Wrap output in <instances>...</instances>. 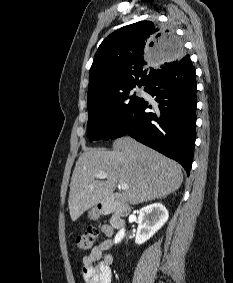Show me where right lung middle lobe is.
Returning a JSON list of instances; mask_svg holds the SVG:
<instances>
[{
  "mask_svg": "<svg viewBox=\"0 0 233 283\" xmlns=\"http://www.w3.org/2000/svg\"><path fill=\"white\" fill-rule=\"evenodd\" d=\"M135 86L113 93L88 106V136L90 140L110 139L141 98L132 93Z\"/></svg>",
  "mask_w": 233,
  "mask_h": 283,
  "instance_id": "obj_1",
  "label": "right lung middle lobe"
}]
</instances>
